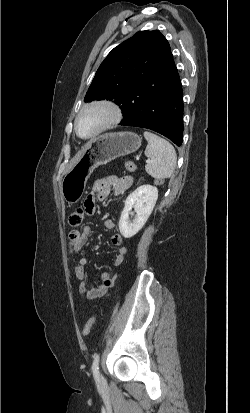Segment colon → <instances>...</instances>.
I'll return each mask as SVG.
<instances>
[{
    "mask_svg": "<svg viewBox=\"0 0 250 413\" xmlns=\"http://www.w3.org/2000/svg\"><path fill=\"white\" fill-rule=\"evenodd\" d=\"M125 167L130 172H133L137 169V166L133 161H127L125 163ZM151 184L155 187H164L166 185V180L163 176H160L159 178L152 180ZM84 210L85 208H77L70 214L68 222L71 227H79L80 225H82L85 216ZM95 320L96 317L93 316L85 323L82 331L84 337H87L90 334Z\"/></svg>",
    "mask_w": 250,
    "mask_h": 413,
    "instance_id": "5ec220e1",
    "label": "colon"
}]
</instances>
